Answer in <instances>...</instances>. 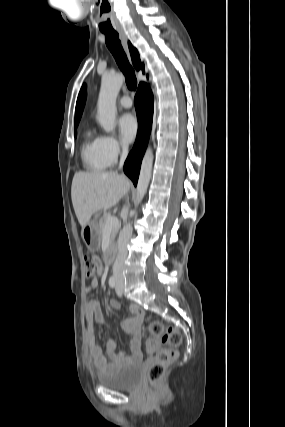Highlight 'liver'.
I'll return each instance as SVG.
<instances>
[{
	"label": "liver",
	"instance_id": "obj_1",
	"mask_svg": "<svg viewBox=\"0 0 285 427\" xmlns=\"http://www.w3.org/2000/svg\"><path fill=\"white\" fill-rule=\"evenodd\" d=\"M129 187V180L115 172L75 173L71 198L81 227L88 224L94 213L114 207L128 192Z\"/></svg>",
	"mask_w": 285,
	"mask_h": 427
}]
</instances>
